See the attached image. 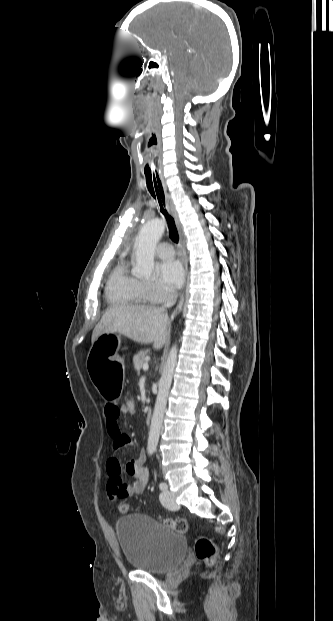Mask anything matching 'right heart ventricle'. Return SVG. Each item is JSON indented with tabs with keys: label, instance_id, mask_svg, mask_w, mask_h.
I'll list each match as a JSON object with an SVG mask.
<instances>
[{
	"label": "right heart ventricle",
	"instance_id": "e07e8e85",
	"mask_svg": "<svg viewBox=\"0 0 333 621\" xmlns=\"http://www.w3.org/2000/svg\"><path fill=\"white\" fill-rule=\"evenodd\" d=\"M106 298L112 304L141 305L148 301L142 281L129 271L125 260L112 270L106 285Z\"/></svg>",
	"mask_w": 333,
	"mask_h": 621
}]
</instances>
